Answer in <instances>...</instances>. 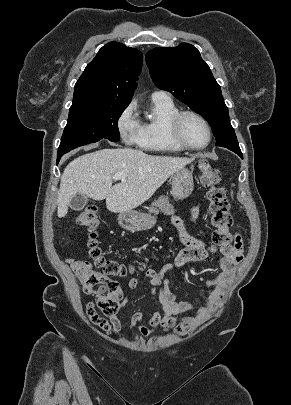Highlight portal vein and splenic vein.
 Wrapping results in <instances>:
<instances>
[{
  "label": "portal vein and splenic vein",
  "mask_w": 291,
  "mask_h": 405,
  "mask_svg": "<svg viewBox=\"0 0 291 405\" xmlns=\"http://www.w3.org/2000/svg\"><path fill=\"white\" fill-rule=\"evenodd\" d=\"M114 180H124L125 174L124 173H116L112 176Z\"/></svg>",
  "instance_id": "portal-vein-and-splenic-vein-1"
}]
</instances>
